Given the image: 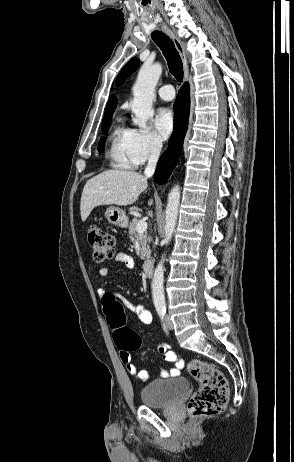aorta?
<instances>
[{
	"label": "aorta",
	"mask_w": 294,
	"mask_h": 462,
	"mask_svg": "<svg viewBox=\"0 0 294 462\" xmlns=\"http://www.w3.org/2000/svg\"><path fill=\"white\" fill-rule=\"evenodd\" d=\"M162 66L159 63L143 65L138 73L136 83L133 86L134 99L131 104L134 113L133 123L143 129H147V121L153 116L152 103L155 98V86L161 76ZM180 204V187L175 185L168 194L167 207L165 210V237L163 242L168 245L173 236ZM164 261L162 256L155 268L152 279V297L156 308L165 307L164 295Z\"/></svg>",
	"instance_id": "1"
}]
</instances>
